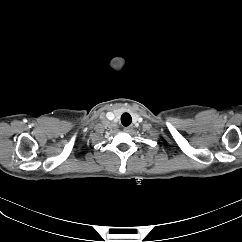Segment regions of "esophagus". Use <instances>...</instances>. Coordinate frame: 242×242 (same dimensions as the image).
Here are the masks:
<instances>
[{
	"instance_id": "1",
	"label": "esophagus",
	"mask_w": 242,
	"mask_h": 242,
	"mask_svg": "<svg viewBox=\"0 0 242 242\" xmlns=\"http://www.w3.org/2000/svg\"><path fill=\"white\" fill-rule=\"evenodd\" d=\"M132 130V126L124 127L125 132H130Z\"/></svg>"
}]
</instances>
